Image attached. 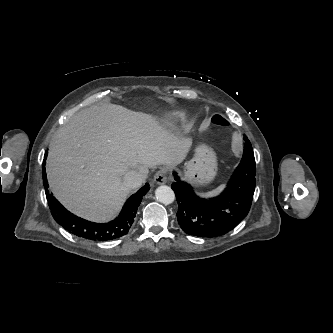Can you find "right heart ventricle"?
<instances>
[{
	"label": "right heart ventricle",
	"instance_id": "1",
	"mask_svg": "<svg viewBox=\"0 0 333 333\" xmlns=\"http://www.w3.org/2000/svg\"><path fill=\"white\" fill-rule=\"evenodd\" d=\"M174 119L176 120V122L182 124L186 121L187 116L184 112H175Z\"/></svg>",
	"mask_w": 333,
	"mask_h": 333
}]
</instances>
